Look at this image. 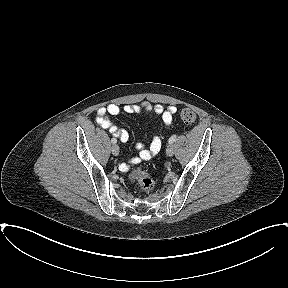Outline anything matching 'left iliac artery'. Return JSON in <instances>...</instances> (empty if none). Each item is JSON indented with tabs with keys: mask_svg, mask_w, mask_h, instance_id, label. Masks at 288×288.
Returning <instances> with one entry per match:
<instances>
[{
	"mask_svg": "<svg viewBox=\"0 0 288 288\" xmlns=\"http://www.w3.org/2000/svg\"><path fill=\"white\" fill-rule=\"evenodd\" d=\"M176 140V135H172L170 138H169V144H172L174 141Z\"/></svg>",
	"mask_w": 288,
	"mask_h": 288,
	"instance_id": "obj_1",
	"label": "left iliac artery"
}]
</instances>
